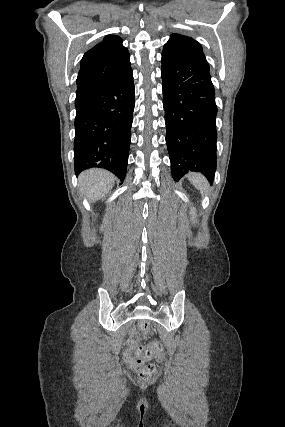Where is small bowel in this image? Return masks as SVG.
I'll return each instance as SVG.
<instances>
[{
    "mask_svg": "<svg viewBox=\"0 0 285 427\" xmlns=\"http://www.w3.org/2000/svg\"><path fill=\"white\" fill-rule=\"evenodd\" d=\"M133 345H134V342L131 341V343L128 345V347L126 349V352L123 354L125 363L132 368L135 367L134 359H133V356L131 354V351L133 349Z\"/></svg>",
    "mask_w": 285,
    "mask_h": 427,
    "instance_id": "small-bowel-1",
    "label": "small bowel"
}]
</instances>
